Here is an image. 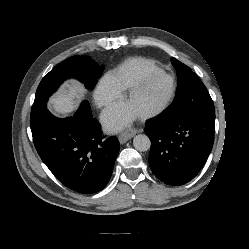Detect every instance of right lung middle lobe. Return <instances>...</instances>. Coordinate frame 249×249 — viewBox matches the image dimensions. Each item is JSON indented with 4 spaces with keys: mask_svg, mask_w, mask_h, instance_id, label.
<instances>
[{
    "mask_svg": "<svg viewBox=\"0 0 249 249\" xmlns=\"http://www.w3.org/2000/svg\"><path fill=\"white\" fill-rule=\"evenodd\" d=\"M102 70L89 56H73L61 62L40 82L31 109L30 123L36 121L46 110L48 98L64 80L78 79L92 90L97 83V79L101 76Z\"/></svg>",
    "mask_w": 249,
    "mask_h": 249,
    "instance_id": "right-lung-middle-lobe-1",
    "label": "right lung middle lobe"
}]
</instances>
